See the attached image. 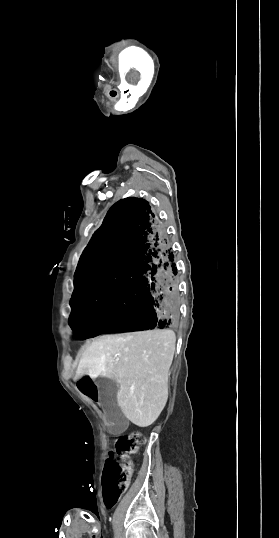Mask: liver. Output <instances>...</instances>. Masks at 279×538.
Returning <instances> with one entry per match:
<instances>
[{"instance_id": "obj_1", "label": "liver", "mask_w": 279, "mask_h": 538, "mask_svg": "<svg viewBox=\"0 0 279 538\" xmlns=\"http://www.w3.org/2000/svg\"><path fill=\"white\" fill-rule=\"evenodd\" d=\"M173 330H147L101 336L86 348L76 370L115 380L124 416L139 428L151 426L168 400V372L175 352Z\"/></svg>"}]
</instances>
